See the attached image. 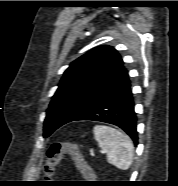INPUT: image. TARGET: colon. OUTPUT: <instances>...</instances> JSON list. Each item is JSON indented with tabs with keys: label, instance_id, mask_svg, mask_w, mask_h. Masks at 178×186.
<instances>
[{
	"label": "colon",
	"instance_id": "obj_1",
	"mask_svg": "<svg viewBox=\"0 0 178 186\" xmlns=\"http://www.w3.org/2000/svg\"><path fill=\"white\" fill-rule=\"evenodd\" d=\"M65 154H69L73 157L78 169L82 173L88 174L90 172L89 165L75 145L55 142L52 143L47 150V158L44 167L46 177H51L53 175L55 167L59 164Z\"/></svg>",
	"mask_w": 178,
	"mask_h": 186
}]
</instances>
